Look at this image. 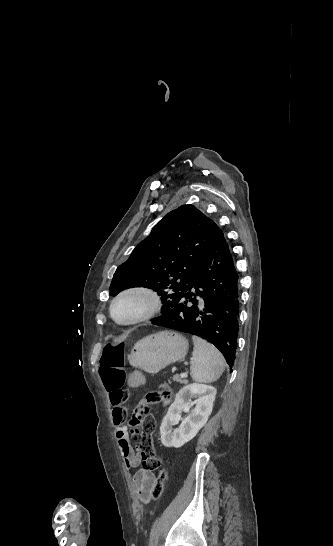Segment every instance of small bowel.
I'll use <instances>...</instances> for the list:
<instances>
[{
    "label": "small bowel",
    "mask_w": 333,
    "mask_h": 546,
    "mask_svg": "<svg viewBox=\"0 0 333 546\" xmlns=\"http://www.w3.org/2000/svg\"><path fill=\"white\" fill-rule=\"evenodd\" d=\"M131 380L128 381L126 384L128 386L133 387H139L142 385L143 387H146L148 385V382L146 380H142V375L138 373V369L136 367H133L131 371H128L126 373ZM136 380V381H135ZM109 398L110 402L113 406L112 410V419L113 423L115 425V435L118 440L119 449L121 452V455L124 459V462L126 466L129 469L137 468L140 465L141 457L138 451H136L129 442V431L128 428L125 425V418L127 415V409L122 405V399L124 398V392L122 390L120 391H114L109 392ZM119 400V401H115ZM169 400V399H168ZM168 400H164V403L166 404ZM157 475L152 471H147L145 469H138L133 474V483L134 488L136 490L138 500L141 504L146 503L148 498L150 497L151 490L156 483Z\"/></svg>",
    "instance_id": "obj_1"
}]
</instances>
